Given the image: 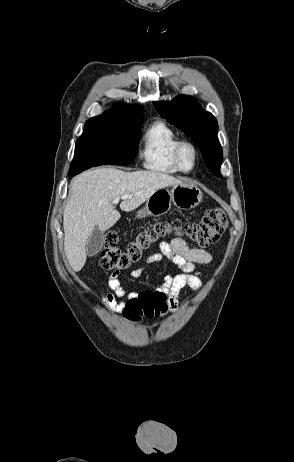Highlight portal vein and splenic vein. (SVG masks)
<instances>
[{
    "mask_svg": "<svg viewBox=\"0 0 294 462\" xmlns=\"http://www.w3.org/2000/svg\"><path fill=\"white\" fill-rule=\"evenodd\" d=\"M131 197H132V195H123V196L117 197V198L113 201V203L116 204V203L119 202L120 199H128V198H131Z\"/></svg>",
    "mask_w": 294,
    "mask_h": 462,
    "instance_id": "18ae733b",
    "label": "portal vein and splenic vein"
}]
</instances>
